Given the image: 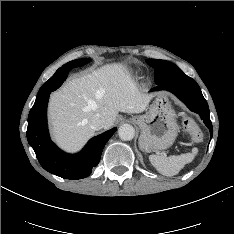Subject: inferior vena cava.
Instances as JSON below:
<instances>
[{"label": "inferior vena cava", "instance_id": "obj_1", "mask_svg": "<svg viewBox=\"0 0 234 234\" xmlns=\"http://www.w3.org/2000/svg\"><path fill=\"white\" fill-rule=\"evenodd\" d=\"M105 126V119L99 113L93 115L91 118V128L93 130H100Z\"/></svg>", "mask_w": 234, "mask_h": 234}]
</instances>
